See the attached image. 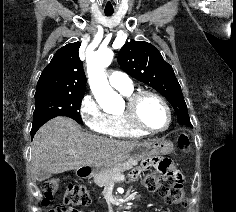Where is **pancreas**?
I'll return each mask as SVG.
<instances>
[{
	"label": "pancreas",
	"mask_w": 236,
	"mask_h": 212,
	"mask_svg": "<svg viewBox=\"0 0 236 212\" xmlns=\"http://www.w3.org/2000/svg\"><path fill=\"white\" fill-rule=\"evenodd\" d=\"M137 164L135 160H127L100 173L94 177V183L99 187H106L112 182H120L125 179L123 173ZM123 176V179H119Z\"/></svg>",
	"instance_id": "cf45deb5"
}]
</instances>
